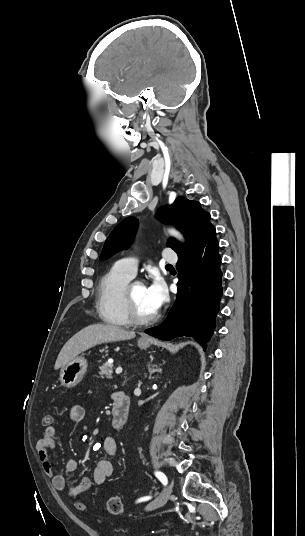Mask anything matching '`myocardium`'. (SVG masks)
Wrapping results in <instances>:
<instances>
[{
  "label": "myocardium",
  "mask_w": 305,
  "mask_h": 536,
  "mask_svg": "<svg viewBox=\"0 0 305 536\" xmlns=\"http://www.w3.org/2000/svg\"><path fill=\"white\" fill-rule=\"evenodd\" d=\"M123 304L129 318L135 323H148L156 320L159 317L158 312H154L150 315H143L134 307L130 296V286H126L124 289Z\"/></svg>",
  "instance_id": "f54148a6"
}]
</instances>
